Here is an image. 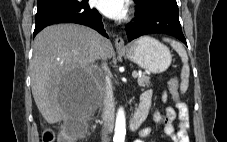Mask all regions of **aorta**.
Segmentation results:
<instances>
[{
  "label": "aorta",
  "instance_id": "obj_1",
  "mask_svg": "<svg viewBox=\"0 0 227 142\" xmlns=\"http://www.w3.org/2000/svg\"><path fill=\"white\" fill-rule=\"evenodd\" d=\"M125 135H126L125 111L122 107H120L116 115L114 138H113L114 142H124Z\"/></svg>",
  "mask_w": 227,
  "mask_h": 142
}]
</instances>
